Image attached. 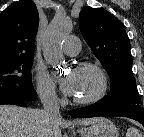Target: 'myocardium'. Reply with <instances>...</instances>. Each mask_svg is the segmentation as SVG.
<instances>
[{
  "label": "myocardium",
  "mask_w": 144,
  "mask_h": 137,
  "mask_svg": "<svg viewBox=\"0 0 144 137\" xmlns=\"http://www.w3.org/2000/svg\"><path fill=\"white\" fill-rule=\"evenodd\" d=\"M77 70H91L95 72L99 78L100 86L98 91L89 98L79 99L73 97V103L76 105L88 106L101 101L105 97L108 90V78L104 69L99 64L94 62H82L77 66Z\"/></svg>",
  "instance_id": "myocardium-1"
}]
</instances>
